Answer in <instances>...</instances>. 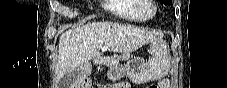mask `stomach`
I'll return each instance as SVG.
<instances>
[{
	"mask_svg": "<svg viewBox=\"0 0 227 88\" xmlns=\"http://www.w3.org/2000/svg\"><path fill=\"white\" fill-rule=\"evenodd\" d=\"M152 57L148 62L131 61L124 67H119L117 60L112 57L101 60L110 67L109 74L112 79L119 80L127 75L135 84H142L160 79L165 76L170 68V49L162 39L151 42Z\"/></svg>",
	"mask_w": 227,
	"mask_h": 88,
	"instance_id": "1",
	"label": "stomach"
}]
</instances>
